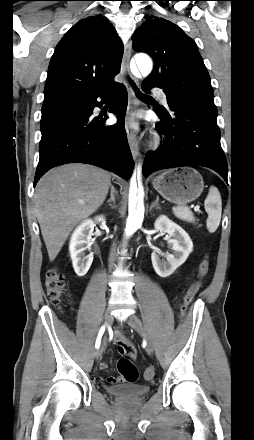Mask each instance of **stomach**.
Here are the masks:
<instances>
[{"mask_svg": "<svg viewBox=\"0 0 254 440\" xmlns=\"http://www.w3.org/2000/svg\"><path fill=\"white\" fill-rule=\"evenodd\" d=\"M152 185L168 201L186 204L201 195L204 181L197 170L184 167L164 171L152 180Z\"/></svg>", "mask_w": 254, "mask_h": 440, "instance_id": "0dacf381", "label": "stomach"}]
</instances>
